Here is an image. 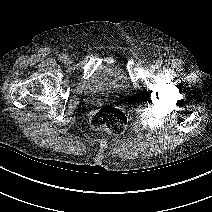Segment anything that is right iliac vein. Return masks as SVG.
Returning a JSON list of instances; mask_svg holds the SVG:
<instances>
[{"mask_svg":"<svg viewBox=\"0 0 212 212\" xmlns=\"http://www.w3.org/2000/svg\"><path fill=\"white\" fill-rule=\"evenodd\" d=\"M71 62H72L71 58L68 57V56H66V58L64 60V63L67 64V65H69V64H71Z\"/></svg>","mask_w":212,"mask_h":212,"instance_id":"obj_1","label":"right iliac vein"}]
</instances>
